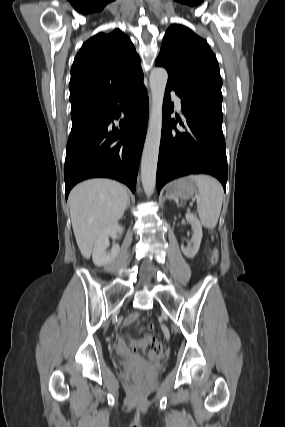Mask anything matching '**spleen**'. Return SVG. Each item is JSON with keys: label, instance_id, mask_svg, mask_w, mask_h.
I'll return each instance as SVG.
<instances>
[{"label": "spleen", "instance_id": "3e777b00", "mask_svg": "<svg viewBox=\"0 0 285 427\" xmlns=\"http://www.w3.org/2000/svg\"><path fill=\"white\" fill-rule=\"evenodd\" d=\"M189 180L198 186L197 209L201 224L208 229L216 227L223 201V188L213 177L208 175H191Z\"/></svg>", "mask_w": 285, "mask_h": 427}]
</instances>
